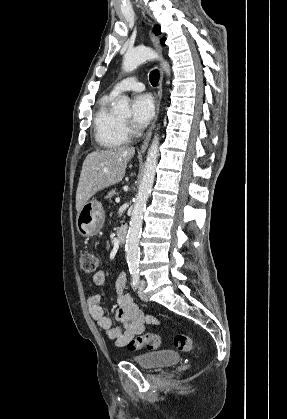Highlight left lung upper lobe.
Listing matches in <instances>:
<instances>
[{
    "label": "left lung upper lobe",
    "mask_w": 287,
    "mask_h": 419,
    "mask_svg": "<svg viewBox=\"0 0 287 419\" xmlns=\"http://www.w3.org/2000/svg\"><path fill=\"white\" fill-rule=\"evenodd\" d=\"M154 32H155L156 34H160V27H159V26H156V27L154 28ZM164 41H165V39L163 38V39L161 40V43H162V44H164Z\"/></svg>",
    "instance_id": "obj_1"
}]
</instances>
